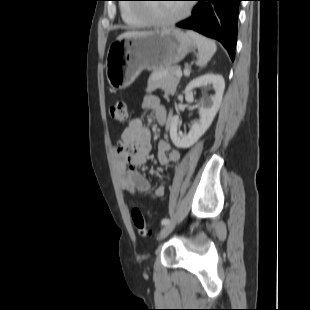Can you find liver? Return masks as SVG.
I'll use <instances>...</instances> for the list:
<instances>
[{
    "mask_svg": "<svg viewBox=\"0 0 310 310\" xmlns=\"http://www.w3.org/2000/svg\"><path fill=\"white\" fill-rule=\"evenodd\" d=\"M153 32H145V31H127L122 33L121 35L118 36L117 39H122V38H130V37H136V36H144L151 34Z\"/></svg>",
    "mask_w": 310,
    "mask_h": 310,
    "instance_id": "obj_1",
    "label": "liver"
}]
</instances>
